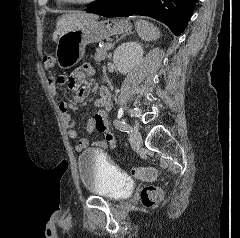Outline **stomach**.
Returning a JSON list of instances; mask_svg holds the SVG:
<instances>
[{"label": "stomach", "mask_w": 240, "mask_h": 238, "mask_svg": "<svg viewBox=\"0 0 240 238\" xmlns=\"http://www.w3.org/2000/svg\"><path fill=\"white\" fill-rule=\"evenodd\" d=\"M130 29L131 24L125 19L90 20L76 29L59 35L56 47L59 67L68 69L77 64L83 58L87 44L126 33Z\"/></svg>", "instance_id": "obj_1"}]
</instances>
